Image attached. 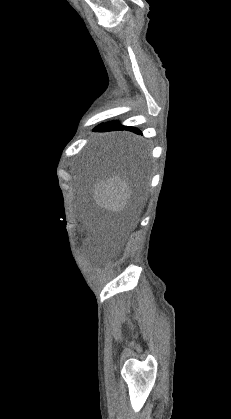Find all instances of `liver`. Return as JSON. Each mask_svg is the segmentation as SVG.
<instances>
[{
  "label": "liver",
  "instance_id": "liver-1",
  "mask_svg": "<svg viewBox=\"0 0 231 419\" xmlns=\"http://www.w3.org/2000/svg\"><path fill=\"white\" fill-rule=\"evenodd\" d=\"M122 138L131 136L126 133L120 134ZM132 195V189L127 179L114 174L105 180H99L94 185L93 197L100 206L112 211H122L128 205Z\"/></svg>",
  "mask_w": 231,
  "mask_h": 419
}]
</instances>
